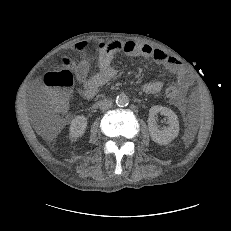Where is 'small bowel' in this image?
<instances>
[{
  "mask_svg": "<svg viewBox=\"0 0 231 231\" xmlns=\"http://www.w3.org/2000/svg\"><path fill=\"white\" fill-rule=\"evenodd\" d=\"M84 50V44L76 46L77 52L81 53ZM117 53H124L133 58L152 59L156 63L163 65L170 73L176 75V88L178 90H185L192 84L193 77L191 73L183 67L178 59L161 49L128 40L101 41L98 44L95 57L84 56L79 63H74L69 58L65 59V64L74 71L78 83L82 85L81 95L83 98H93L102 86L109 83L116 76L113 60ZM94 58L97 59L98 70L93 76L88 77L90 64ZM162 87L163 83L161 81H149L143 85V92L155 94L160 92Z\"/></svg>",
  "mask_w": 231,
  "mask_h": 231,
  "instance_id": "obj_1",
  "label": "small bowel"
}]
</instances>
